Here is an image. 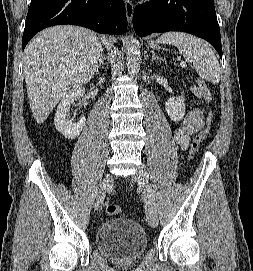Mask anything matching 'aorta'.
Instances as JSON below:
<instances>
[{"instance_id":"obj_1","label":"aorta","mask_w":253,"mask_h":271,"mask_svg":"<svg viewBox=\"0 0 253 271\" xmlns=\"http://www.w3.org/2000/svg\"><path fill=\"white\" fill-rule=\"evenodd\" d=\"M127 68L130 75L138 74L141 63L140 43L137 39L131 38L126 49Z\"/></svg>"}]
</instances>
